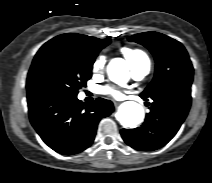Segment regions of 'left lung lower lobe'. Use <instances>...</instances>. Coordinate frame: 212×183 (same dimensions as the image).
Segmentation results:
<instances>
[{
    "label": "left lung lower lobe",
    "instance_id": "obj_1",
    "mask_svg": "<svg viewBox=\"0 0 212 183\" xmlns=\"http://www.w3.org/2000/svg\"><path fill=\"white\" fill-rule=\"evenodd\" d=\"M140 97L148 100V97ZM150 98L154 101L145 122L138 128L121 130L124 141L140 151L161 148L174 137L189 112L191 88L165 90Z\"/></svg>",
    "mask_w": 212,
    "mask_h": 183
}]
</instances>
